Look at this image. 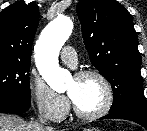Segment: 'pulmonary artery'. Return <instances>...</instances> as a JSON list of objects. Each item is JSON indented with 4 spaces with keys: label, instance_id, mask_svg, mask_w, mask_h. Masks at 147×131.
Listing matches in <instances>:
<instances>
[{
    "label": "pulmonary artery",
    "instance_id": "1",
    "mask_svg": "<svg viewBox=\"0 0 147 131\" xmlns=\"http://www.w3.org/2000/svg\"><path fill=\"white\" fill-rule=\"evenodd\" d=\"M61 59L65 64L71 67H75V65L77 64V55L75 50L71 46H65L62 49Z\"/></svg>",
    "mask_w": 147,
    "mask_h": 131
}]
</instances>
